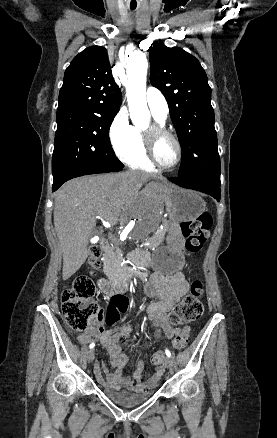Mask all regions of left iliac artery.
<instances>
[{"label":"left iliac artery","mask_w":277,"mask_h":438,"mask_svg":"<svg viewBox=\"0 0 277 438\" xmlns=\"http://www.w3.org/2000/svg\"><path fill=\"white\" fill-rule=\"evenodd\" d=\"M165 353H166V355H167L168 357H171V353H170V351H169L168 349L165 350Z\"/></svg>","instance_id":"obj_1"}]
</instances>
